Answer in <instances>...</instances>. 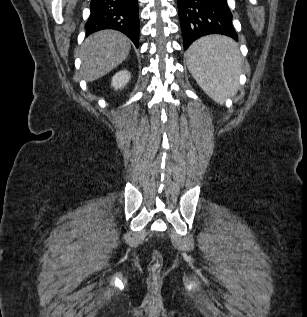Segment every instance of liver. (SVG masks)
I'll list each match as a JSON object with an SVG mask.
<instances>
[{"mask_svg": "<svg viewBox=\"0 0 307 317\" xmlns=\"http://www.w3.org/2000/svg\"><path fill=\"white\" fill-rule=\"evenodd\" d=\"M130 48V39L118 31L90 35L81 47L82 76L88 82L103 77L127 58Z\"/></svg>", "mask_w": 307, "mask_h": 317, "instance_id": "obj_1", "label": "liver"}]
</instances>
